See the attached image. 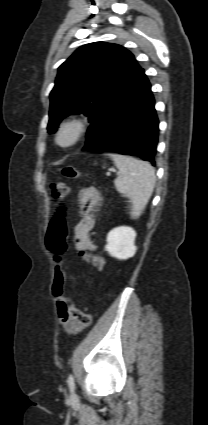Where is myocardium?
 I'll return each instance as SVG.
<instances>
[{"instance_id": "myocardium-1", "label": "myocardium", "mask_w": 208, "mask_h": 425, "mask_svg": "<svg viewBox=\"0 0 208 425\" xmlns=\"http://www.w3.org/2000/svg\"><path fill=\"white\" fill-rule=\"evenodd\" d=\"M88 125L81 117L67 118L61 122L56 134L55 143L62 148H68L79 143L87 134Z\"/></svg>"}]
</instances>
